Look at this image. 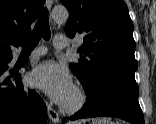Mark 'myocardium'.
Listing matches in <instances>:
<instances>
[{
  "instance_id": "f54148a6",
  "label": "myocardium",
  "mask_w": 156,
  "mask_h": 124,
  "mask_svg": "<svg viewBox=\"0 0 156 124\" xmlns=\"http://www.w3.org/2000/svg\"><path fill=\"white\" fill-rule=\"evenodd\" d=\"M73 89L75 90L77 96L76 101L73 104L63 103L60 106L61 111L68 115H73L83 110L86 107L89 100V95L82 85L75 84Z\"/></svg>"
}]
</instances>
